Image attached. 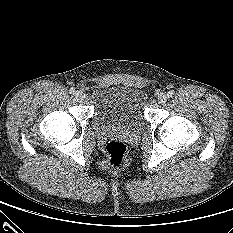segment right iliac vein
Masks as SVG:
<instances>
[{"label": "right iliac vein", "instance_id": "obj_1", "mask_svg": "<svg viewBox=\"0 0 233 233\" xmlns=\"http://www.w3.org/2000/svg\"><path fill=\"white\" fill-rule=\"evenodd\" d=\"M74 95H75V98H76L77 100H79V101H81V100L84 99V94H83L82 91H76V92L74 93Z\"/></svg>", "mask_w": 233, "mask_h": 233}]
</instances>
